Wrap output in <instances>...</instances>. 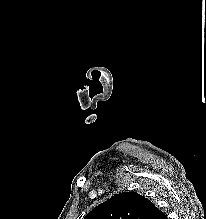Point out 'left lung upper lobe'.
I'll return each instance as SVG.
<instances>
[{"label":"left lung upper lobe","instance_id":"1","mask_svg":"<svg viewBox=\"0 0 206 219\" xmlns=\"http://www.w3.org/2000/svg\"><path fill=\"white\" fill-rule=\"evenodd\" d=\"M154 205L135 192L114 195L90 211L84 219H151Z\"/></svg>","mask_w":206,"mask_h":219}]
</instances>
